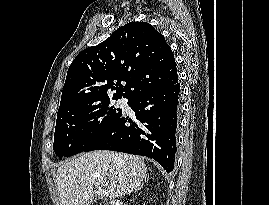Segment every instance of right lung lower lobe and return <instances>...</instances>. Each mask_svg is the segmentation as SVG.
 Wrapping results in <instances>:
<instances>
[{"label":"right lung lower lobe","mask_w":269,"mask_h":205,"mask_svg":"<svg viewBox=\"0 0 269 205\" xmlns=\"http://www.w3.org/2000/svg\"><path fill=\"white\" fill-rule=\"evenodd\" d=\"M180 92L177 82L131 98L128 105L137 122L122 114L84 152L101 149L147 156L173 171Z\"/></svg>","instance_id":"obj_1"}]
</instances>
